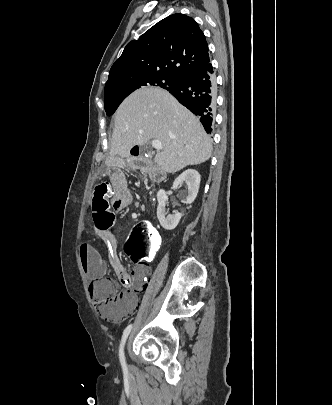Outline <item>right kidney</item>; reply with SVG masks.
Masks as SVG:
<instances>
[{
	"mask_svg": "<svg viewBox=\"0 0 332 405\" xmlns=\"http://www.w3.org/2000/svg\"><path fill=\"white\" fill-rule=\"evenodd\" d=\"M186 183L188 188V193L186 196L187 204H191L197 197L199 186H200V174L193 169H188L180 174L173 182V187L178 189L183 183ZM157 218L160 225L165 230H173L177 227L182 217V214L175 212L173 214H167L165 205L167 201V194L165 190L161 189L157 192Z\"/></svg>",
	"mask_w": 332,
	"mask_h": 405,
	"instance_id": "1",
	"label": "right kidney"
}]
</instances>
